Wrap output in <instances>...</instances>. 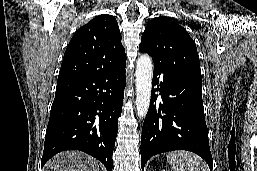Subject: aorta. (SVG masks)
<instances>
[{
	"instance_id": "762f6f07",
	"label": "aorta",
	"mask_w": 257,
	"mask_h": 171,
	"mask_svg": "<svg viewBox=\"0 0 257 171\" xmlns=\"http://www.w3.org/2000/svg\"><path fill=\"white\" fill-rule=\"evenodd\" d=\"M153 64L149 55H141L136 63V109L139 118L146 116L151 99Z\"/></svg>"
}]
</instances>
